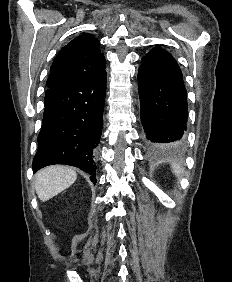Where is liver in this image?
<instances>
[{"label":"liver","mask_w":232,"mask_h":282,"mask_svg":"<svg viewBox=\"0 0 232 282\" xmlns=\"http://www.w3.org/2000/svg\"><path fill=\"white\" fill-rule=\"evenodd\" d=\"M77 179L76 172L67 166H49L35 176L38 198L45 202L70 187Z\"/></svg>","instance_id":"6515ba94"}]
</instances>
